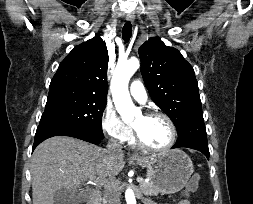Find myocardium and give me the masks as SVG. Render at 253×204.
<instances>
[{"mask_svg":"<svg viewBox=\"0 0 253 204\" xmlns=\"http://www.w3.org/2000/svg\"><path fill=\"white\" fill-rule=\"evenodd\" d=\"M144 116L148 117V118H151V117L163 118L167 122V124L170 128L171 137H170L169 142L165 146L159 147V148L151 147L143 141V139L141 138L138 131L133 127L136 144L140 148L150 151V152H165V151H168L169 149H171L174 146L176 139H177V129H176V126H175L174 122L172 121V119L167 114L162 113V112H157V111L147 112L144 114Z\"/></svg>","mask_w":253,"mask_h":204,"instance_id":"obj_1","label":"myocardium"}]
</instances>
